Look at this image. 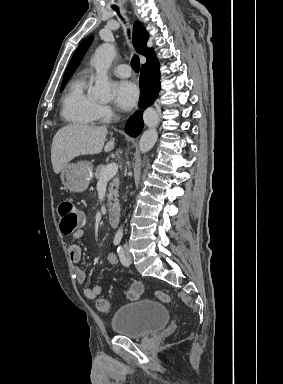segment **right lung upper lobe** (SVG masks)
<instances>
[{"label":"right lung upper lobe","instance_id":"obj_1","mask_svg":"<svg viewBox=\"0 0 283 384\" xmlns=\"http://www.w3.org/2000/svg\"><path fill=\"white\" fill-rule=\"evenodd\" d=\"M148 38V32L146 31L144 26L140 22H136L133 29L134 47L138 53L144 55L147 58V62L142 65V68L156 67L159 65L158 60L155 57V54L153 53V49L147 48L146 46ZM92 40L93 37H88L79 45L65 71L62 83H65L70 79L76 68L79 66L81 60L83 59L84 54L90 46Z\"/></svg>","mask_w":283,"mask_h":384}]
</instances>
